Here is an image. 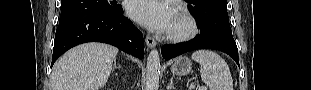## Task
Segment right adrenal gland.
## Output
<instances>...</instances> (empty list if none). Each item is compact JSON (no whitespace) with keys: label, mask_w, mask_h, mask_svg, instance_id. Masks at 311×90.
I'll use <instances>...</instances> for the list:
<instances>
[{"label":"right adrenal gland","mask_w":311,"mask_h":90,"mask_svg":"<svg viewBox=\"0 0 311 90\" xmlns=\"http://www.w3.org/2000/svg\"><path fill=\"white\" fill-rule=\"evenodd\" d=\"M116 68H121V66H117L116 65V60L114 61V67H113V70L112 71H114Z\"/></svg>","instance_id":"obj_1"}]
</instances>
